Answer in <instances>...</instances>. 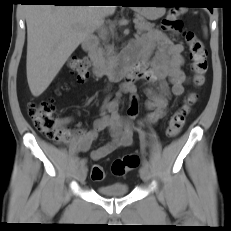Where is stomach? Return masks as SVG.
<instances>
[{"label":"stomach","instance_id":"stomach-1","mask_svg":"<svg viewBox=\"0 0 231 231\" xmlns=\"http://www.w3.org/2000/svg\"><path fill=\"white\" fill-rule=\"evenodd\" d=\"M135 10L150 20L156 19L165 13L164 7H135Z\"/></svg>","mask_w":231,"mask_h":231}]
</instances>
